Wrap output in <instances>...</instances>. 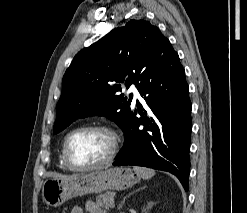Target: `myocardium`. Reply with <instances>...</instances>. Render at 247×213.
Masks as SVG:
<instances>
[{
  "label": "myocardium",
  "mask_w": 247,
  "mask_h": 213,
  "mask_svg": "<svg viewBox=\"0 0 247 213\" xmlns=\"http://www.w3.org/2000/svg\"><path fill=\"white\" fill-rule=\"evenodd\" d=\"M85 131H102L107 134H109L112 138V148L105 160L102 162L92 164V165H79L75 163L69 153V144L71 139L78 133L85 132ZM120 146V138L118 134L110 128L109 126L102 125V124H93V125H85L78 128L73 129L70 131L67 136L65 137V140L63 142L62 146V154L65 164L74 171H91L96 169L104 168L108 165H110L116 158Z\"/></svg>",
  "instance_id": "myocardium-1"
}]
</instances>
